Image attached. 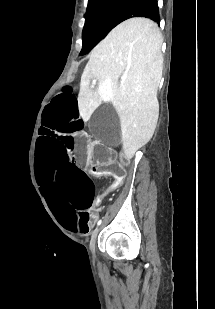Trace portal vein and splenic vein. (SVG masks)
<instances>
[{"instance_id": "18ae733b", "label": "portal vein and splenic vein", "mask_w": 215, "mask_h": 309, "mask_svg": "<svg viewBox=\"0 0 215 309\" xmlns=\"http://www.w3.org/2000/svg\"><path fill=\"white\" fill-rule=\"evenodd\" d=\"M120 82H124V78H121Z\"/></svg>"}]
</instances>
